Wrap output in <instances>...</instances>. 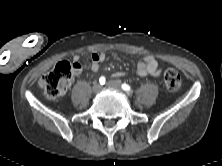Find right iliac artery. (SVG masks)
I'll use <instances>...</instances> for the list:
<instances>
[{"label": "right iliac artery", "mask_w": 222, "mask_h": 166, "mask_svg": "<svg viewBox=\"0 0 222 166\" xmlns=\"http://www.w3.org/2000/svg\"><path fill=\"white\" fill-rule=\"evenodd\" d=\"M99 82H100L101 85H104L105 82H106L105 77L101 76V77L99 78Z\"/></svg>", "instance_id": "82829eb1"}]
</instances>
